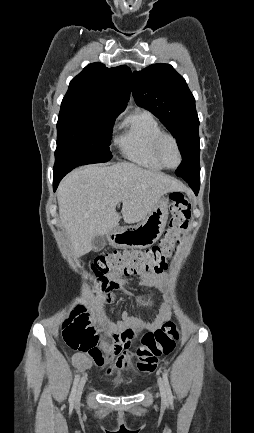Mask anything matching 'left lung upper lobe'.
Segmentation results:
<instances>
[{
    "label": "left lung upper lobe",
    "mask_w": 254,
    "mask_h": 433,
    "mask_svg": "<svg viewBox=\"0 0 254 433\" xmlns=\"http://www.w3.org/2000/svg\"><path fill=\"white\" fill-rule=\"evenodd\" d=\"M132 94L176 138L183 158L175 174L200 179L199 119L185 79L169 64H153L133 72Z\"/></svg>",
    "instance_id": "1"
}]
</instances>
